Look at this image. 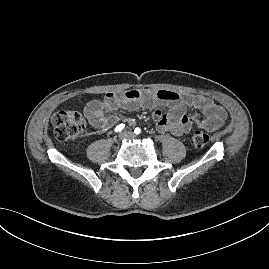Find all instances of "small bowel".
Here are the masks:
<instances>
[{
	"label": "small bowel",
	"instance_id": "1",
	"mask_svg": "<svg viewBox=\"0 0 269 269\" xmlns=\"http://www.w3.org/2000/svg\"><path fill=\"white\" fill-rule=\"evenodd\" d=\"M161 105L168 107L167 113L157 109ZM142 106L155 109L153 119L159 132H169L175 136L187 134L193 126L209 132L216 131L227 120L225 109L208 97L181 96L166 90L109 92L102 99L88 103L85 115L94 127L106 131L120 121V117L115 113L118 109L134 110ZM190 109L198 110L203 117L191 114Z\"/></svg>",
	"mask_w": 269,
	"mask_h": 269
}]
</instances>
